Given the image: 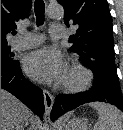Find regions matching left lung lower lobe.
<instances>
[{
  "label": "left lung lower lobe",
  "mask_w": 123,
  "mask_h": 130,
  "mask_svg": "<svg viewBox=\"0 0 123 130\" xmlns=\"http://www.w3.org/2000/svg\"><path fill=\"white\" fill-rule=\"evenodd\" d=\"M105 102L123 111V98L120 87L109 81L94 79L91 90L78 95H58L55 99L51 119L55 120L67 111L89 102Z\"/></svg>",
  "instance_id": "obj_1"
}]
</instances>
